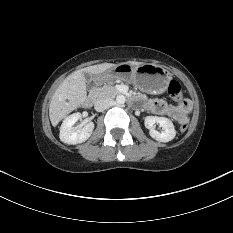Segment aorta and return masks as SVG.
I'll list each match as a JSON object with an SVG mask.
<instances>
[{
  "label": "aorta",
  "mask_w": 233,
  "mask_h": 233,
  "mask_svg": "<svg viewBox=\"0 0 233 233\" xmlns=\"http://www.w3.org/2000/svg\"><path fill=\"white\" fill-rule=\"evenodd\" d=\"M125 101H126V98H125V96H123V95H118V96L116 97V103H117V104H124Z\"/></svg>",
  "instance_id": "1"
}]
</instances>
